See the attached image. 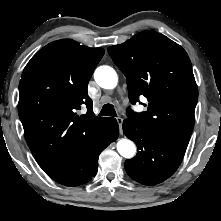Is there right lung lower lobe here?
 Here are the masks:
<instances>
[{
	"label": "right lung lower lobe",
	"instance_id": "right-lung-lower-lobe-1",
	"mask_svg": "<svg viewBox=\"0 0 221 221\" xmlns=\"http://www.w3.org/2000/svg\"><path fill=\"white\" fill-rule=\"evenodd\" d=\"M119 134L116 119L105 118L101 126L86 141L52 167L44 170L56 182L65 186H78L97 173L100 153Z\"/></svg>",
	"mask_w": 221,
	"mask_h": 221
}]
</instances>
